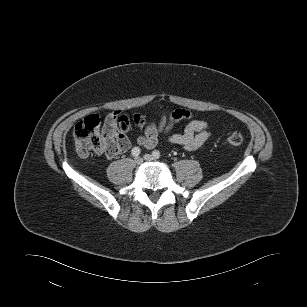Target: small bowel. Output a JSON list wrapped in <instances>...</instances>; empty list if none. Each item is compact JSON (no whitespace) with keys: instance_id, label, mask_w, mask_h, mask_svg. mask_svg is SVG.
<instances>
[{"instance_id":"small-bowel-1","label":"small bowel","mask_w":307,"mask_h":307,"mask_svg":"<svg viewBox=\"0 0 307 307\" xmlns=\"http://www.w3.org/2000/svg\"><path fill=\"white\" fill-rule=\"evenodd\" d=\"M117 114L119 112H115L106 118L105 134L109 149L104 153L108 158H114L126 152L131 146L128 137L112 122V116ZM182 120H188L184 131L182 133H171L175 124ZM163 134L169 135L170 143L181 146L188 151L203 148L211 136L206 121L192 119L191 113L186 109H176L169 115H162L157 120L149 122L143 135L137 138V143L146 148H153Z\"/></svg>"}]
</instances>
